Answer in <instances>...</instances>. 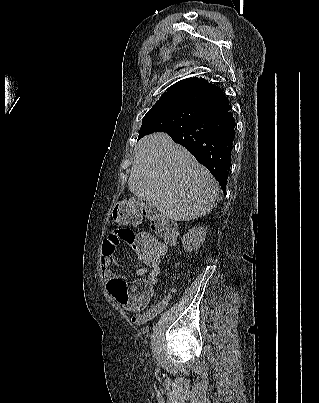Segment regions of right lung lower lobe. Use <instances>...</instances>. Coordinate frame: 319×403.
Listing matches in <instances>:
<instances>
[{
	"mask_svg": "<svg viewBox=\"0 0 319 403\" xmlns=\"http://www.w3.org/2000/svg\"><path fill=\"white\" fill-rule=\"evenodd\" d=\"M234 127L235 119L226 110L158 132L167 133L173 141L188 149L200 164L208 168L225 192L235 138Z\"/></svg>",
	"mask_w": 319,
	"mask_h": 403,
	"instance_id": "1",
	"label": "right lung lower lobe"
}]
</instances>
